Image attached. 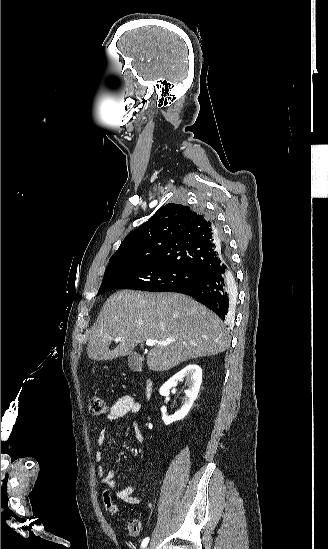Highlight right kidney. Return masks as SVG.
Listing matches in <instances>:
<instances>
[{
  "mask_svg": "<svg viewBox=\"0 0 328 549\" xmlns=\"http://www.w3.org/2000/svg\"><path fill=\"white\" fill-rule=\"evenodd\" d=\"M182 379H185L189 387L187 391H184L185 397L183 399V407L182 409H180V411H177V413L171 415V417H167V415H165L166 407H161L162 419L165 425H170V423H174V421H180V419H184L187 413H189L195 399H197V395L199 393V389L202 383V371L199 365H187V367H184L182 371H179V373L173 375V377H171V379H169L167 383H164V385H162L159 391L160 395H162V397H169L170 389H172V387H177L178 381H182Z\"/></svg>",
  "mask_w": 328,
  "mask_h": 549,
  "instance_id": "right-kidney-1",
  "label": "right kidney"
}]
</instances>
